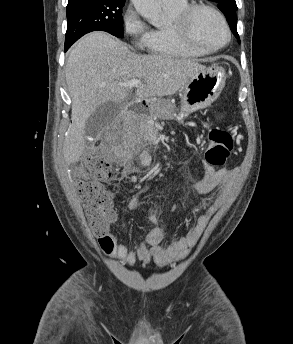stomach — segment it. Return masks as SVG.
Segmentation results:
<instances>
[{
    "instance_id": "0dacf381",
    "label": "stomach",
    "mask_w": 293,
    "mask_h": 344,
    "mask_svg": "<svg viewBox=\"0 0 293 344\" xmlns=\"http://www.w3.org/2000/svg\"><path fill=\"white\" fill-rule=\"evenodd\" d=\"M225 85L224 69L213 65L196 73L183 87L181 108L178 115L186 117L190 113L210 106L220 95ZM150 113L163 120L177 118V109L170 100H147Z\"/></svg>"
}]
</instances>
